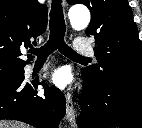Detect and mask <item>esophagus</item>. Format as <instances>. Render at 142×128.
<instances>
[{"instance_id":"1","label":"esophagus","mask_w":142,"mask_h":128,"mask_svg":"<svg viewBox=\"0 0 142 128\" xmlns=\"http://www.w3.org/2000/svg\"><path fill=\"white\" fill-rule=\"evenodd\" d=\"M66 98V119L71 123H75V109L73 105V100L70 93L65 95Z\"/></svg>"}]
</instances>
